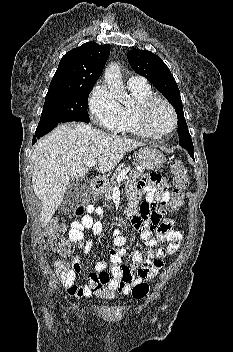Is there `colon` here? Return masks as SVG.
Instances as JSON below:
<instances>
[{
    "instance_id": "colon-1",
    "label": "colon",
    "mask_w": 233,
    "mask_h": 352,
    "mask_svg": "<svg viewBox=\"0 0 233 352\" xmlns=\"http://www.w3.org/2000/svg\"><path fill=\"white\" fill-rule=\"evenodd\" d=\"M171 173L173 177V193L170 204L172 208H179L183 204L184 192L189 185L187 176V169L184 163L179 159H174L171 165ZM92 199L91 193L84 195L83 201L87 202ZM85 206L80 204L76 206L71 215L81 216L84 213ZM64 222L65 219L60 221H52L46 228V236L48 238L49 248L52 252L60 254L64 257L71 255L74 250V244L64 236ZM55 270L60 280L66 279L71 274V267L63 259L55 260ZM155 278V273H149L147 281L140 282L134 285L131 289L132 296L136 299L145 298L149 291V282ZM109 276L95 271H91L87 275V285L91 290L92 295L102 299H113L116 295V289L107 286Z\"/></svg>"
}]
</instances>
